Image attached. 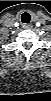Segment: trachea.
Listing matches in <instances>:
<instances>
[{"label": "trachea", "instance_id": "trachea-1", "mask_svg": "<svg viewBox=\"0 0 51 101\" xmlns=\"http://www.w3.org/2000/svg\"><path fill=\"white\" fill-rule=\"evenodd\" d=\"M31 20V16L29 13L25 12L21 15V21L25 24H28Z\"/></svg>", "mask_w": 51, "mask_h": 101}]
</instances>
